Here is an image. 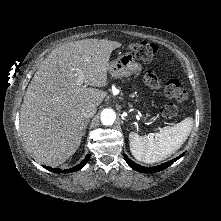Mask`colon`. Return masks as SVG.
I'll list each match as a JSON object with an SVG mask.
<instances>
[{"mask_svg": "<svg viewBox=\"0 0 221 221\" xmlns=\"http://www.w3.org/2000/svg\"><path fill=\"white\" fill-rule=\"evenodd\" d=\"M128 50L132 51L134 55L145 62H152L157 54V47L154 44L148 42L133 43L128 46ZM146 80L150 85H156L157 79L153 72H148ZM164 92L168 98L175 102L181 103L187 99V93L182 87L180 81L176 78H170L167 80ZM164 118L170 119L177 114V106L170 102L166 104L161 110Z\"/></svg>", "mask_w": 221, "mask_h": 221, "instance_id": "colon-1", "label": "colon"}]
</instances>
